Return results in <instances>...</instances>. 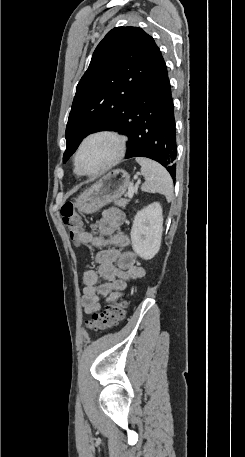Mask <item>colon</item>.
<instances>
[{
  "label": "colon",
  "instance_id": "colon-1",
  "mask_svg": "<svg viewBox=\"0 0 245 457\" xmlns=\"http://www.w3.org/2000/svg\"><path fill=\"white\" fill-rule=\"evenodd\" d=\"M61 217L64 225L67 228L70 238L77 242L81 233L80 219L75 212L72 202H66L61 208ZM126 310L125 301L112 303L104 309L101 313H94L92 318L86 321L85 326L89 330L102 331L109 329L119 324L124 316Z\"/></svg>",
  "mask_w": 245,
  "mask_h": 457
}]
</instances>
